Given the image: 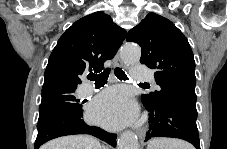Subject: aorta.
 <instances>
[{
  "label": "aorta",
  "instance_id": "aorta-1",
  "mask_svg": "<svg viewBox=\"0 0 227 149\" xmlns=\"http://www.w3.org/2000/svg\"><path fill=\"white\" fill-rule=\"evenodd\" d=\"M141 49L137 45L128 44L121 50V58L128 64L138 63ZM118 149H139L138 139L132 131H125L118 141Z\"/></svg>",
  "mask_w": 227,
  "mask_h": 149
}]
</instances>
